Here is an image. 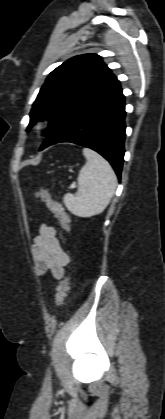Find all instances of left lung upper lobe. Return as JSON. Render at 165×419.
<instances>
[{"mask_svg": "<svg viewBox=\"0 0 165 419\" xmlns=\"http://www.w3.org/2000/svg\"><path fill=\"white\" fill-rule=\"evenodd\" d=\"M116 76L100 56L84 54L75 56L47 77L33 103L27 131L39 120L46 118L50 124L44 136L50 135L67 116L88 98L104 90Z\"/></svg>", "mask_w": 165, "mask_h": 419, "instance_id": "1", "label": "left lung upper lobe"}]
</instances>
